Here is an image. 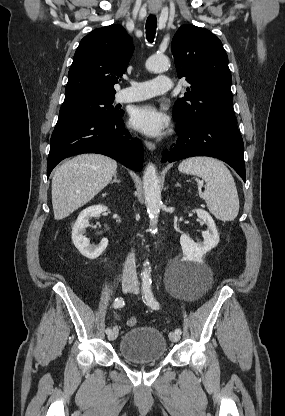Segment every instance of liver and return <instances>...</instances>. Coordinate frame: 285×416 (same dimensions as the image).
<instances>
[{
	"label": "liver",
	"instance_id": "obj_1",
	"mask_svg": "<svg viewBox=\"0 0 285 416\" xmlns=\"http://www.w3.org/2000/svg\"><path fill=\"white\" fill-rule=\"evenodd\" d=\"M117 162L100 154H82L57 168L52 180V206L55 220L90 202L110 184Z\"/></svg>",
	"mask_w": 285,
	"mask_h": 416
}]
</instances>
